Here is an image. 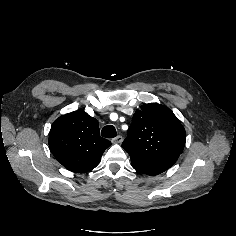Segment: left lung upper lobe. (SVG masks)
<instances>
[{
	"label": "left lung upper lobe",
	"mask_w": 236,
	"mask_h": 236,
	"mask_svg": "<svg viewBox=\"0 0 236 236\" xmlns=\"http://www.w3.org/2000/svg\"><path fill=\"white\" fill-rule=\"evenodd\" d=\"M185 141V129L173 112L158 103H150L133 115L122 147L130 155L135 170L155 176L177 161Z\"/></svg>",
	"instance_id": "obj_1"
}]
</instances>
